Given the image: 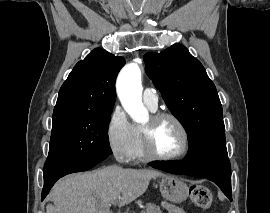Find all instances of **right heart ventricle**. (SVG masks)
I'll return each mask as SVG.
<instances>
[{
	"instance_id": "e07e8e85",
	"label": "right heart ventricle",
	"mask_w": 270,
	"mask_h": 213,
	"mask_svg": "<svg viewBox=\"0 0 270 213\" xmlns=\"http://www.w3.org/2000/svg\"><path fill=\"white\" fill-rule=\"evenodd\" d=\"M150 110L154 111L153 109H150ZM146 159L147 158H146L144 151H143V148H142L140 128L134 127V143H133V147L131 150V160L136 161V162H140V161H145Z\"/></svg>"
}]
</instances>
